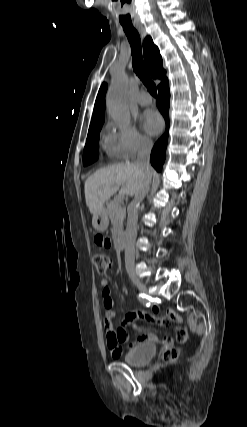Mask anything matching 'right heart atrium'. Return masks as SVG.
Segmentation results:
<instances>
[{
	"mask_svg": "<svg viewBox=\"0 0 247 427\" xmlns=\"http://www.w3.org/2000/svg\"><path fill=\"white\" fill-rule=\"evenodd\" d=\"M106 144L118 159H130L152 147L151 140L131 125L110 122L106 125Z\"/></svg>",
	"mask_w": 247,
	"mask_h": 427,
	"instance_id": "obj_1",
	"label": "right heart atrium"
}]
</instances>
